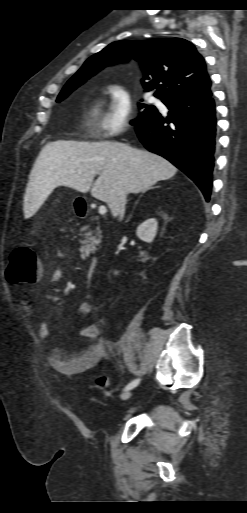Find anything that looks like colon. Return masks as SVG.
Returning <instances> with one entry per match:
<instances>
[{
  "label": "colon",
  "instance_id": "1",
  "mask_svg": "<svg viewBox=\"0 0 247 513\" xmlns=\"http://www.w3.org/2000/svg\"><path fill=\"white\" fill-rule=\"evenodd\" d=\"M42 273L36 253L29 245L14 248L9 256L5 271L6 279L13 285L33 284ZM107 380L104 376L97 379V386L104 390Z\"/></svg>",
  "mask_w": 247,
  "mask_h": 513
}]
</instances>
